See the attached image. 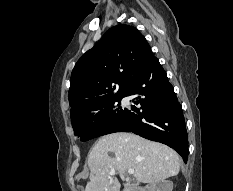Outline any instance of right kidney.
I'll list each match as a JSON object with an SVG mask.
<instances>
[{
	"label": "right kidney",
	"mask_w": 233,
	"mask_h": 191,
	"mask_svg": "<svg viewBox=\"0 0 233 191\" xmlns=\"http://www.w3.org/2000/svg\"><path fill=\"white\" fill-rule=\"evenodd\" d=\"M173 182L170 180H163L160 183L153 185L150 191H172Z\"/></svg>",
	"instance_id": "ca27d5eb"
}]
</instances>
